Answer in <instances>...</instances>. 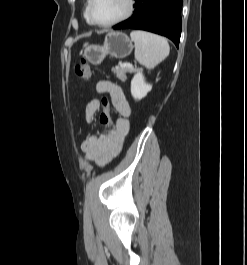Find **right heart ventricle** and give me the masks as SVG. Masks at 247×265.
<instances>
[{
	"instance_id": "obj_1",
	"label": "right heart ventricle",
	"mask_w": 247,
	"mask_h": 265,
	"mask_svg": "<svg viewBox=\"0 0 247 265\" xmlns=\"http://www.w3.org/2000/svg\"><path fill=\"white\" fill-rule=\"evenodd\" d=\"M87 5H88V2H87V4H86V9H85V19H86L87 22H89V20H88V18H87V13H86V11H87ZM89 23H90V22H89Z\"/></svg>"
}]
</instances>
